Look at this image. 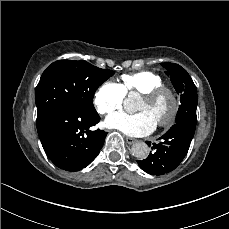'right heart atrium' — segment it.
Segmentation results:
<instances>
[{"label": "right heart atrium", "instance_id": "d8ad5b80", "mask_svg": "<svg viewBox=\"0 0 229 229\" xmlns=\"http://www.w3.org/2000/svg\"><path fill=\"white\" fill-rule=\"evenodd\" d=\"M125 94L121 86L112 81L103 82L94 92L93 106L100 114H109L120 110Z\"/></svg>", "mask_w": 229, "mask_h": 229}]
</instances>
